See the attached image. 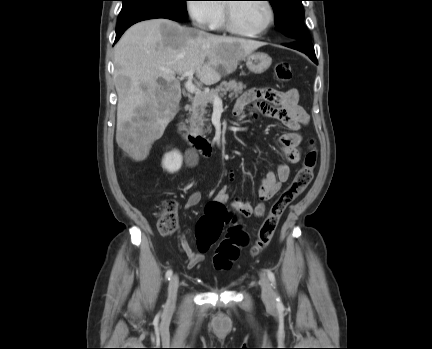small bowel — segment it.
I'll use <instances>...</instances> for the list:
<instances>
[{"instance_id":"c3829d8e","label":"small bowel","mask_w":432,"mask_h":349,"mask_svg":"<svg viewBox=\"0 0 432 349\" xmlns=\"http://www.w3.org/2000/svg\"><path fill=\"white\" fill-rule=\"evenodd\" d=\"M246 109L250 111V117L258 114L279 120L288 132L278 138V147L285 160L277 165L275 170H269L262 179L258 189L259 202L252 205L248 201L236 198L232 202L234 209L243 217H261L265 212V202L270 200L290 177V164H296L301 159L300 145L302 135L300 129L309 123L310 116L299 105V94L294 88L286 91L274 88H251L244 92L237 100L234 112L242 114ZM189 166L197 163V158L190 154L187 157ZM199 191L192 192L185 203L187 210L197 206L201 201ZM229 200V188L223 186L216 194L214 201L225 204ZM182 250L188 259V268H194L203 260V254L195 251L187 242L181 244Z\"/></svg>"}]
</instances>
